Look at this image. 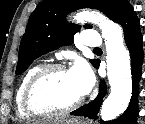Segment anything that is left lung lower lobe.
I'll use <instances>...</instances> for the list:
<instances>
[{"label":"left lung lower lobe","instance_id":"left-lung-lower-lobe-1","mask_svg":"<svg viewBox=\"0 0 145 124\" xmlns=\"http://www.w3.org/2000/svg\"><path fill=\"white\" fill-rule=\"evenodd\" d=\"M119 24L122 25L124 30V39L126 45L129 49L131 55V65H132V85L133 94L131 97L130 104L127 110L117 119L107 122H101L102 124H136L138 109V89L139 80L142 72V63L144 58V53L142 49V34L140 31V21L134 12L133 7L127 9L121 18L118 20ZM99 67V62H97L96 68ZM106 84L103 80L100 82L99 94L87 105H84L77 110L73 111L71 115L75 116H85L89 118L97 119V114L99 112L100 104L102 103L106 95Z\"/></svg>","mask_w":145,"mask_h":124}]
</instances>
